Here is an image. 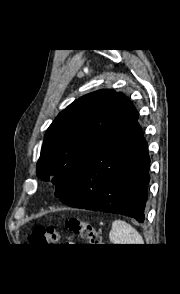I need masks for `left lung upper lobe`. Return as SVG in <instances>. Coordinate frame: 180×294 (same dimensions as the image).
<instances>
[{"label":"left lung upper lobe","mask_w":180,"mask_h":294,"mask_svg":"<svg viewBox=\"0 0 180 294\" xmlns=\"http://www.w3.org/2000/svg\"><path fill=\"white\" fill-rule=\"evenodd\" d=\"M132 103L121 92L102 89L80 97L49 126L37 162L40 179L56 185L64 198L99 146Z\"/></svg>","instance_id":"left-lung-upper-lobe-1"}]
</instances>
